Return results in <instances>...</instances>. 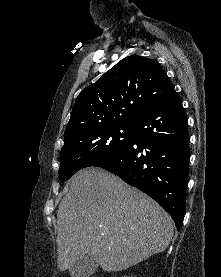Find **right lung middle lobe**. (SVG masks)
Wrapping results in <instances>:
<instances>
[{
	"label": "right lung middle lobe",
	"mask_w": 221,
	"mask_h": 277,
	"mask_svg": "<svg viewBox=\"0 0 221 277\" xmlns=\"http://www.w3.org/2000/svg\"><path fill=\"white\" fill-rule=\"evenodd\" d=\"M133 124L101 125L84 130L64 141L59 178L66 182L85 167L114 156L131 142Z\"/></svg>",
	"instance_id": "obj_1"
}]
</instances>
